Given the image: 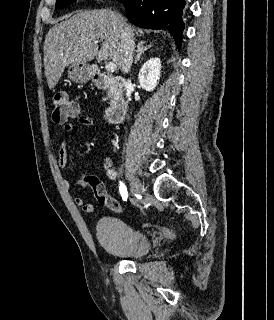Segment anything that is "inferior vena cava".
Here are the masks:
<instances>
[{
	"instance_id": "1",
	"label": "inferior vena cava",
	"mask_w": 274,
	"mask_h": 320,
	"mask_svg": "<svg viewBox=\"0 0 274 320\" xmlns=\"http://www.w3.org/2000/svg\"><path fill=\"white\" fill-rule=\"evenodd\" d=\"M119 30L121 34V42H123V52H124L122 72H124V74H128L133 64V54L135 50L133 30L131 26H128V24H124V22H120Z\"/></svg>"
}]
</instances>
